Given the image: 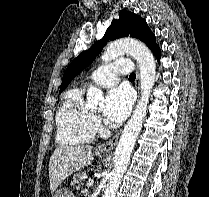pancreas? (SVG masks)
Listing matches in <instances>:
<instances>
[{
    "label": "pancreas",
    "mask_w": 209,
    "mask_h": 197,
    "mask_svg": "<svg viewBox=\"0 0 209 197\" xmlns=\"http://www.w3.org/2000/svg\"><path fill=\"white\" fill-rule=\"evenodd\" d=\"M87 178V174L82 172L80 174H76L74 177H73V180L71 181V185L74 186L75 184H78V188L80 187L79 183H82L83 180Z\"/></svg>",
    "instance_id": "cf45deb5"
}]
</instances>
